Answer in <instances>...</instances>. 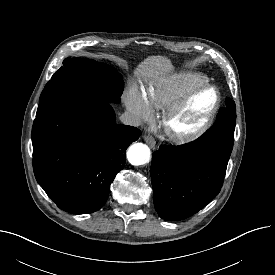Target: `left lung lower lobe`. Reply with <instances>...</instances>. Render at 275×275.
Wrapping results in <instances>:
<instances>
[{"mask_svg": "<svg viewBox=\"0 0 275 275\" xmlns=\"http://www.w3.org/2000/svg\"><path fill=\"white\" fill-rule=\"evenodd\" d=\"M226 111L221 108L216 121L223 120ZM234 130L216 122L193 142L161 145L153 153V201L162 219L188 218L218 195L233 148Z\"/></svg>", "mask_w": 275, "mask_h": 275, "instance_id": "1", "label": "left lung lower lobe"}]
</instances>
